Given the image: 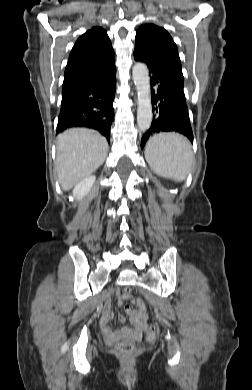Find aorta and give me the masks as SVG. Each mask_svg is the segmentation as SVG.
<instances>
[{
  "mask_svg": "<svg viewBox=\"0 0 252 390\" xmlns=\"http://www.w3.org/2000/svg\"><path fill=\"white\" fill-rule=\"evenodd\" d=\"M132 76L138 96L137 124L141 131H146L149 129L153 117L150 78L146 65L136 63L133 67Z\"/></svg>",
  "mask_w": 252,
  "mask_h": 390,
  "instance_id": "aorta-1",
  "label": "aorta"
}]
</instances>
